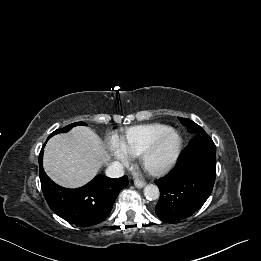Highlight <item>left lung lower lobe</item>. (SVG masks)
Instances as JSON below:
<instances>
[{
  "label": "left lung lower lobe",
  "mask_w": 261,
  "mask_h": 261,
  "mask_svg": "<svg viewBox=\"0 0 261 261\" xmlns=\"http://www.w3.org/2000/svg\"><path fill=\"white\" fill-rule=\"evenodd\" d=\"M216 177V147L205 131L195 134L176 167L156 181L160 198L157 216L173 223L196 212L210 196Z\"/></svg>",
  "instance_id": "obj_1"
}]
</instances>
